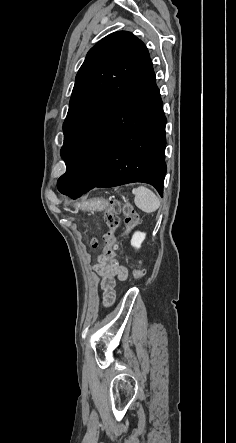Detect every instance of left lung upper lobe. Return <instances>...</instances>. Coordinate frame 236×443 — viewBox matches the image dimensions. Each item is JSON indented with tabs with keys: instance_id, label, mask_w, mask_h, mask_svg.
Masks as SVG:
<instances>
[{
	"instance_id": "5c2ea615",
	"label": "left lung upper lobe",
	"mask_w": 236,
	"mask_h": 443,
	"mask_svg": "<svg viewBox=\"0 0 236 443\" xmlns=\"http://www.w3.org/2000/svg\"><path fill=\"white\" fill-rule=\"evenodd\" d=\"M135 35L118 31L101 39L79 69L63 124L61 156L67 163L92 125L123 94L149 60Z\"/></svg>"
}]
</instances>
